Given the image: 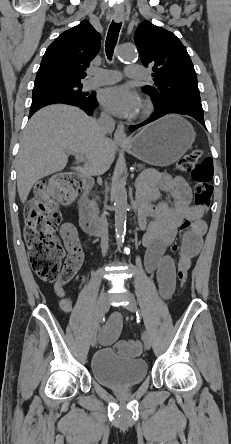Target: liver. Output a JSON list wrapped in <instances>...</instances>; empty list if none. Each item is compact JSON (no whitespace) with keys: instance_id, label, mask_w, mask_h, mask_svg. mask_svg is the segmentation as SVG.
I'll return each instance as SVG.
<instances>
[{"instance_id":"1","label":"liver","mask_w":231,"mask_h":444,"mask_svg":"<svg viewBox=\"0 0 231 444\" xmlns=\"http://www.w3.org/2000/svg\"><path fill=\"white\" fill-rule=\"evenodd\" d=\"M70 153L85 157V164L75 170L90 175L98 165L106 170L111 166L115 144L102 136L97 120L77 107L56 104L37 111L20 138L16 165L20 200H27L38 180L63 170Z\"/></svg>"}]
</instances>
